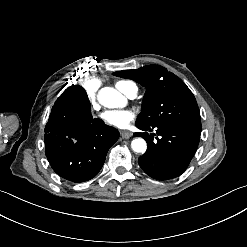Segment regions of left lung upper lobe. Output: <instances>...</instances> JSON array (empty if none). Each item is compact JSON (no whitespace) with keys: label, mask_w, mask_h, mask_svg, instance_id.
I'll use <instances>...</instances> for the list:
<instances>
[{"label":"left lung upper lobe","mask_w":247,"mask_h":247,"mask_svg":"<svg viewBox=\"0 0 247 247\" xmlns=\"http://www.w3.org/2000/svg\"><path fill=\"white\" fill-rule=\"evenodd\" d=\"M113 75L132 79L146 88L137 127L179 126L201 133L200 113L193 93L163 66L146 65Z\"/></svg>","instance_id":"5c2ea615"}]
</instances>
